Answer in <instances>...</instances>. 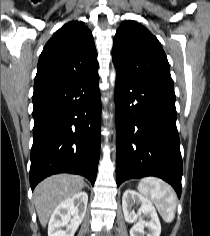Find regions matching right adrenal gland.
<instances>
[{"label":"right adrenal gland","instance_id":"2a0ac1e0","mask_svg":"<svg viewBox=\"0 0 210 236\" xmlns=\"http://www.w3.org/2000/svg\"><path fill=\"white\" fill-rule=\"evenodd\" d=\"M85 187L89 188V186L87 184L84 185Z\"/></svg>","mask_w":210,"mask_h":236}]
</instances>
